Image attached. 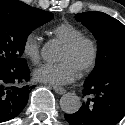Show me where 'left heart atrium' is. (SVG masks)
I'll use <instances>...</instances> for the list:
<instances>
[{
	"label": "left heart atrium",
	"instance_id": "obj_1",
	"mask_svg": "<svg viewBox=\"0 0 125 125\" xmlns=\"http://www.w3.org/2000/svg\"><path fill=\"white\" fill-rule=\"evenodd\" d=\"M77 75L78 70L68 60L43 64L33 73L35 80L54 86L69 84Z\"/></svg>",
	"mask_w": 125,
	"mask_h": 125
}]
</instances>
